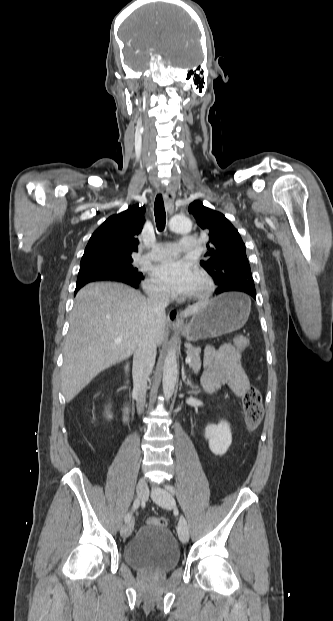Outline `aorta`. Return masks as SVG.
Returning a JSON list of instances; mask_svg holds the SVG:
<instances>
[{"label":"aorta","instance_id":"762f6f07","mask_svg":"<svg viewBox=\"0 0 333 621\" xmlns=\"http://www.w3.org/2000/svg\"><path fill=\"white\" fill-rule=\"evenodd\" d=\"M169 228L171 231L176 233H189L191 231L192 224L188 218L176 215L171 217L169 220ZM177 375L178 366L176 352L173 348H170L165 357L162 380L163 393L167 401L174 393Z\"/></svg>","mask_w":333,"mask_h":621}]
</instances>
